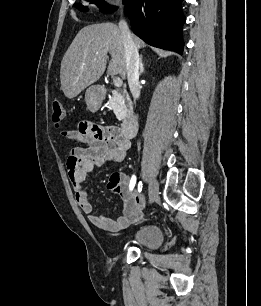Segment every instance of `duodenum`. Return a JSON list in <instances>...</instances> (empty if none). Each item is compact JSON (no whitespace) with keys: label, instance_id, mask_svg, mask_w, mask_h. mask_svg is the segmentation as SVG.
<instances>
[{"label":"duodenum","instance_id":"obj_1","mask_svg":"<svg viewBox=\"0 0 261 306\" xmlns=\"http://www.w3.org/2000/svg\"><path fill=\"white\" fill-rule=\"evenodd\" d=\"M101 92H104V88H101ZM138 128V118L137 115L133 112L128 113L121 124V133L126 138L133 137Z\"/></svg>","mask_w":261,"mask_h":306}]
</instances>
